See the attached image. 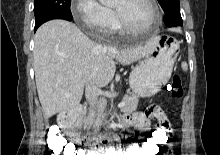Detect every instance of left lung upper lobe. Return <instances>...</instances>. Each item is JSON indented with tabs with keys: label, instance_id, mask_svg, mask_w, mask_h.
<instances>
[{
	"label": "left lung upper lobe",
	"instance_id": "obj_1",
	"mask_svg": "<svg viewBox=\"0 0 220 155\" xmlns=\"http://www.w3.org/2000/svg\"><path fill=\"white\" fill-rule=\"evenodd\" d=\"M164 13L180 10L179 0H158Z\"/></svg>",
	"mask_w": 220,
	"mask_h": 155
}]
</instances>
